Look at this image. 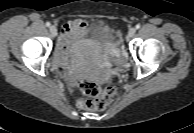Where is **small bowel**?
<instances>
[{
    "label": "small bowel",
    "instance_id": "1",
    "mask_svg": "<svg viewBox=\"0 0 194 133\" xmlns=\"http://www.w3.org/2000/svg\"><path fill=\"white\" fill-rule=\"evenodd\" d=\"M88 29L89 23L82 19L68 21L62 28L57 52L54 58V67L69 84L73 81L72 75L65 71L69 50L76 41L86 34Z\"/></svg>",
    "mask_w": 194,
    "mask_h": 133
}]
</instances>
